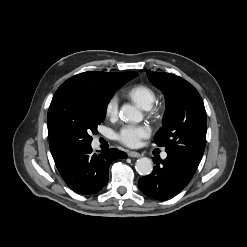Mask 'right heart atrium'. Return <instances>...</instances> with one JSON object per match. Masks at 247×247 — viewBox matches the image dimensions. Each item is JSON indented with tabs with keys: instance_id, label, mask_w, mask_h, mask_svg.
Masks as SVG:
<instances>
[{
	"instance_id": "right-heart-atrium-1",
	"label": "right heart atrium",
	"mask_w": 247,
	"mask_h": 247,
	"mask_svg": "<svg viewBox=\"0 0 247 247\" xmlns=\"http://www.w3.org/2000/svg\"><path fill=\"white\" fill-rule=\"evenodd\" d=\"M118 114V99L112 96L105 105V115L108 118H114Z\"/></svg>"
}]
</instances>
